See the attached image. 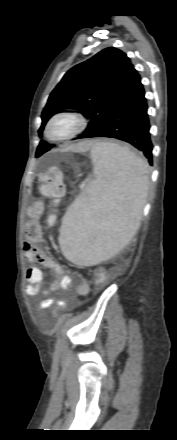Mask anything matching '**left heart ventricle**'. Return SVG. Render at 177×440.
<instances>
[{"mask_svg": "<svg viewBox=\"0 0 177 440\" xmlns=\"http://www.w3.org/2000/svg\"><path fill=\"white\" fill-rule=\"evenodd\" d=\"M70 127V122L66 120L58 121L53 127L54 134H60L66 131Z\"/></svg>", "mask_w": 177, "mask_h": 440, "instance_id": "b2bd125f", "label": "left heart ventricle"}]
</instances>
